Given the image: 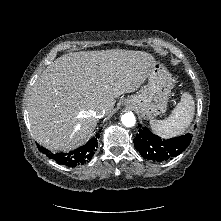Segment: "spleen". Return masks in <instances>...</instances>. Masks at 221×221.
I'll use <instances>...</instances> for the list:
<instances>
[{
  "label": "spleen",
  "mask_w": 221,
  "mask_h": 221,
  "mask_svg": "<svg viewBox=\"0 0 221 221\" xmlns=\"http://www.w3.org/2000/svg\"><path fill=\"white\" fill-rule=\"evenodd\" d=\"M194 111V100L189 93L185 92L168 118L164 120L153 119L150 121L151 129L162 138L181 135L191 124Z\"/></svg>",
  "instance_id": "1"
}]
</instances>
